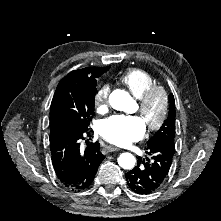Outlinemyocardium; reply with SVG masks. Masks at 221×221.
<instances>
[{
  "mask_svg": "<svg viewBox=\"0 0 221 221\" xmlns=\"http://www.w3.org/2000/svg\"><path fill=\"white\" fill-rule=\"evenodd\" d=\"M155 99L160 100V112L154 121H149L148 111ZM138 112L146 120L145 125L149 132L161 129L169 113V98L166 90L157 85L149 88L138 101Z\"/></svg>",
  "mask_w": 221,
  "mask_h": 221,
  "instance_id": "obj_1",
  "label": "myocardium"
}]
</instances>
